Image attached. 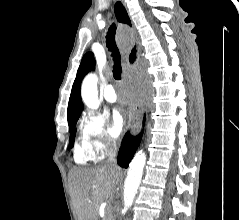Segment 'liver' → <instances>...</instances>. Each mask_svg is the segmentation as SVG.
Listing matches in <instances>:
<instances>
[{"label":"liver","mask_w":239,"mask_h":220,"mask_svg":"<svg viewBox=\"0 0 239 220\" xmlns=\"http://www.w3.org/2000/svg\"><path fill=\"white\" fill-rule=\"evenodd\" d=\"M121 179L122 171L117 166L73 169L69 183L78 220H99L101 203L113 196Z\"/></svg>","instance_id":"1"}]
</instances>
